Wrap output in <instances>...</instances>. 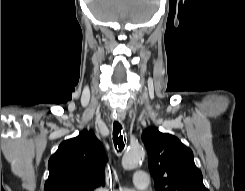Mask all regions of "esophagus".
<instances>
[{"mask_svg":"<svg viewBox=\"0 0 245 191\" xmlns=\"http://www.w3.org/2000/svg\"><path fill=\"white\" fill-rule=\"evenodd\" d=\"M125 118V113L124 112H120L116 115L115 119L120 121L123 120Z\"/></svg>","mask_w":245,"mask_h":191,"instance_id":"obj_1","label":"esophagus"}]
</instances>
